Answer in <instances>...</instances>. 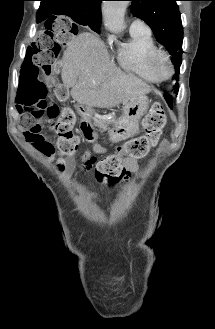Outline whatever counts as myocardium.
Wrapping results in <instances>:
<instances>
[{
	"instance_id": "obj_1",
	"label": "myocardium",
	"mask_w": 215,
	"mask_h": 329,
	"mask_svg": "<svg viewBox=\"0 0 215 329\" xmlns=\"http://www.w3.org/2000/svg\"><path fill=\"white\" fill-rule=\"evenodd\" d=\"M165 63L168 67V73L163 75L160 70L161 63ZM150 66L153 73L160 81L170 79L174 74V64L172 62L170 53L163 49H158L151 57Z\"/></svg>"
}]
</instances>
